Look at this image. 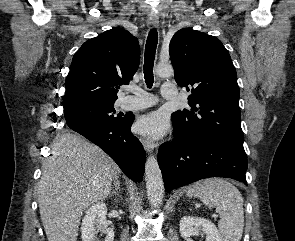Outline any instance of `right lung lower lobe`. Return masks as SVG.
I'll return each instance as SVG.
<instances>
[{"label":"right lung lower lobe","instance_id":"obj_1","mask_svg":"<svg viewBox=\"0 0 295 241\" xmlns=\"http://www.w3.org/2000/svg\"><path fill=\"white\" fill-rule=\"evenodd\" d=\"M133 115L123 123L106 120H85L68 127L104 150L135 182H141L145 170V151L131 131Z\"/></svg>","mask_w":295,"mask_h":241}]
</instances>
